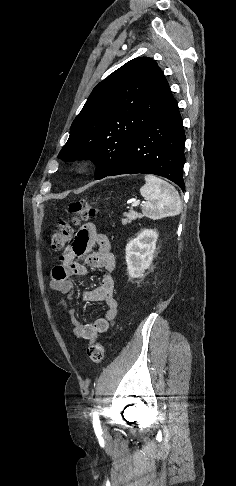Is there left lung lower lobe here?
Masks as SVG:
<instances>
[{
	"label": "left lung lower lobe",
	"mask_w": 236,
	"mask_h": 486,
	"mask_svg": "<svg viewBox=\"0 0 236 486\" xmlns=\"http://www.w3.org/2000/svg\"><path fill=\"white\" fill-rule=\"evenodd\" d=\"M184 147L182 118L177 101L172 97L159 114L134 137L124 155L106 176L156 174L173 181L184 191Z\"/></svg>",
	"instance_id": "1"
}]
</instances>
